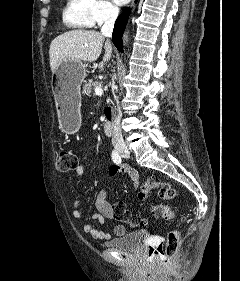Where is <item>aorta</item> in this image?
<instances>
[{"instance_id":"obj_1","label":"aorta","mask_w":240,"mask_h":281,"mask_svg":"<svg viewBox=\"0 0 240 281\" xmlns=\"http://www.w3.org/2000/svg\"><path fill=\"white\" fill-rule=\"evenodd\" d=\"M128 35L127 33L124 35V42H127Z\"/></svg>"}]
</instances>
